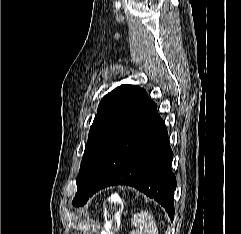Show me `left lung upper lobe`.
Segmentation results:
<instances>
[{"label": "left lung upper lobe", "instance_id": "obj_1", "mask_svg": "<svg viewBox=\"0 0 241 234\" xmlns=\"http://www.w3.org/2000/svg\"><path fill=\"white\" fill-rule=\"evenodd\" d=\"M146 91L133 85H121L101 100L90 127L79 174L74 206H82L88 187L99 169L110 145L124 122L142 101Z\"/></svg>", "mask_w": 241, "mask_h": 234}]
</instances>
